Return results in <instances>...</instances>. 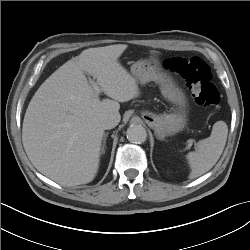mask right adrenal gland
Listing matches in <instances>:
<instances>
[{
    "label": "right adrenal gland",
    "instance_id": "2a0ac1e0",
    "mask_svg": "<svg viewBox=\"0 0 250 250\" xmlns=\"http://www.w3.org/2000/svg\"><path fill=\"white\" fill-rule=\"evenodd\" d=\"M107 136H108V133L104 136V139H103V146H102V149H101V153H102V154L105 153V147H106V139H107Z\"/></svg>",
    "mask_w": 250,
    "mask_h": 250
}]
</instances>
